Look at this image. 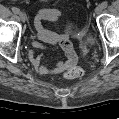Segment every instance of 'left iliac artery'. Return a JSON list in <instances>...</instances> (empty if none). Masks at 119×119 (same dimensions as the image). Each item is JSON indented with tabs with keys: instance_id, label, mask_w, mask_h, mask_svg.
<instances>
[{
	"instance_id": "obj_1",
	"label": "left iliac artery",
	"mask_w": 119,
	"mask_h": 119,
	"mask_svg": "<svg viewBox=\"0 0 119 119\" xmlns=\"http://www.w3.org/2000/svg\"><path fill=\"white\" fill-rule=\"evenodd\" d=\"M101 5H102L103 8H106L108 6V3L106 1H104V2H102Z\"/></svg>"
}]
</instances>
